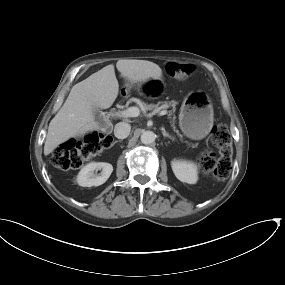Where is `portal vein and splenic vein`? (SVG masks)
<instances>
[{
	"label": "portal vein and splenic vein",
	"mask_w": 285,
	"mask_h": 285,
	"mask_svg": "<svg viewBox=\"0 0 285 285\" xmlns=\"http://www.w3.org/2000/svg\"><path fill=\"white\" fill-rule=\"evenodd\" d=\"M139 114H140V110L138 107H129L126 110L116 112L115 116L116 117L128 118V117H137V116H139ZM166 114H167V112L165 110L159 112L160 116H163Z\"/></svg>",
	"instance_id": "obj_1"
}]
</instances>
